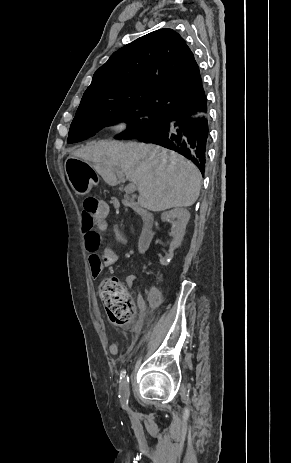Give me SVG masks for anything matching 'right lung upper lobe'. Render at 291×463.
I'll list each match as a JSON object with an SVG mask.
<instances>
[{
    "mask_svg": "<svg viewBox=\"0 0 291 463\" xmlns=\"http://www.w3.org/2000/svg\"><path fill=\"white\" fill-rule=\"evenodd\" d=\"M204 98L193 53L176 31L165 28L114 52L94 73L78 109L132 101L164 114L190 112Z\"/></svg>",
    "mask_w": 291,
    "mask_h": 463,
    "instance_id": "cb5924a9",
    "label": "right lung upper lobe"
}]
</instances>
